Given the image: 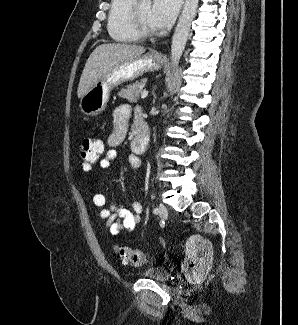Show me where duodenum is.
<instances>
[{
  "label": "duodenum",
  "mask_w": 298,
  "mask_h": 325,
  "mask_svg": "<svg viewBox=\"0 0 298 325\" xmlns=\"http://www.w3.org/2000/svg\"><path fill=\"white\" fill-rule=\"evenodd\" d=\"M150 139V131L148 124L144 120L142 114L137 112L134 122V133L131 142V149L136 154L143 153Z\"/></svg>",
  "instance_id": "410a0bca"
}]
</instances>
